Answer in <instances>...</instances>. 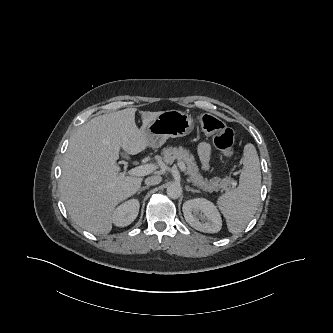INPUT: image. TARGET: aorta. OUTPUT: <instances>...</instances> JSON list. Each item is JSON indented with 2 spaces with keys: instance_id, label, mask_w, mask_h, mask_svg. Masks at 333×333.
<instances>
[{
  "instance_id": "1",
  "label": "aorta",
  "mask_w": 333,
  "mask_h": 333,
  "mask_svg": "<svg viewBox=\"0 0 333 333\" xmlns=\"http://www.w3.org/2000/svg\"><path fill=\"white\" fill-rule=\"evenodd\" d=\"M182 193V188L178 184H171L167 188V195L172 199H177Z\"/></svg>"
}]
</instances>
